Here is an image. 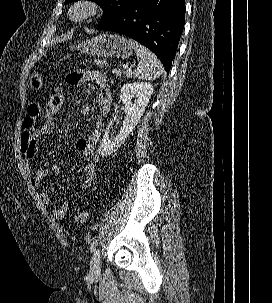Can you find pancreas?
Wrapping results in <instances>:
<instances>
[{
  "label": "pancreas",
  "instance_id": "pancreas-1",
  "mask_svg": "<svg viewBox=\"0 0 272 303\" xmlns=\"http://www.w3.org/2000/svg\"><path fill=\"white\" fill-rule=\"evenodd\" d=\"M113 73H115V74L118 75V76L121 75V71H120V70H117V69H114V70H113ZM123 74H124L126 77H131V76H132V73H131V71H129V70L123 71Z\"/></svg>",
  "mask_w": 272,
  "mask_h": 303
}]
</instances>
